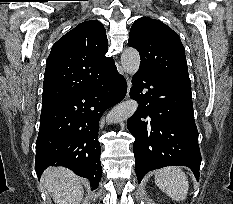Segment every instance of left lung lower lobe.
Here are the masks:
<instances>
[{"instance_id": "1", "label": "left lung lower lobe", "mask_w": 233, "mask_h": 204, "mask_svg": "<svg viewBox=\"0 0 233 204\" xmlns=\"http://www.w3.org/2000/svg\"><path fill=\"white\" fill-rule=\"evenodd\" d=\"M131 98L139 102L128 119L135 137L133 151L138 182L154 169L170 165L189 167L199 180L201 154L194 121L191 86L138 71Z\"/></svg>"}]
</instances>
